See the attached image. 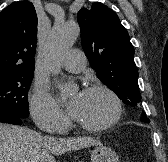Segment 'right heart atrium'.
I'll list each match as a JSON object with an SVG mask.
<instances>
[{"label":"right heart atrium","mask_w":168,"mask_h":162,"mask_svg":"<svg viewBox=\"0 0 168 162\" xmlns=\"http://www.w3.org/2000/svg\"><path fill=\"white\" fill-rule=\"evenodd\" d=\"M29 108L36 125L47 132H60L68 123V118L48 89L37 84L30 96Z\"/></svg>","instance_id":"right-heart-atrium-1"}]
</instances>
